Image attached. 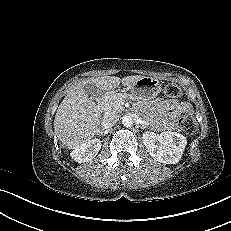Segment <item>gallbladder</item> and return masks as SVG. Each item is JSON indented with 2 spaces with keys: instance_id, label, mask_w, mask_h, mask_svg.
Listing matches in <instances>:
<instances>
[{
  "instance_id": "gallbladder-1",
  "label": "gallbladder",
  "mask_w": 231,
  "mask_h": 231,
  "mask_svg": "<svg viewBox=\"0 0 231 231\" xmlns=\"http://www.w3.org/2000/svg\"><path fill=\"white\" fill-rule=\"evenodd\" d=\"M84 90L88 96L94 97L99 96L101 91L96 87L95 84L88 83L84 86Z\"/></svg>"
}]
</instances>
